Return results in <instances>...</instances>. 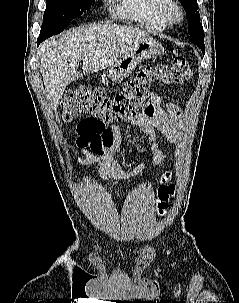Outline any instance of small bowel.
Segmentation results:
<instances>
[{"mask_svg": "<svg viewBox=\"0 0 239 303\" xmlns=\"http://www.w3.org/2000/svg\"><path fill=\"white\" fill-rule=\"evenodd\" d=\"M162 97L159 93L151 94L142 113L127 120L131 126L137 127L140 132L152 143L154 154L153 164L160 165L166 159L164 150L158 143L159 133L164 134L170 143H175L177 134L174 120L165 115L161 110ZM170 112L177 113L174 106H170ZM96 121L95 118H87L81 121L76 128L74 143L77 148L84 149L88 146L94 152H85V164L97 167L104 181L117 183L136 176L146 168L144 164L138 165L133 171H125L116 160V155L121 149L124 141L122 132L115 125L104 126L99 132L90 130L89 125ZM171 179V173L165 172L161 178V186H167Z\"/></svg>", "mask_w": 239, "mask_h": 303, "instance_id": "1", "label": "small bowel"}]
</instances>
